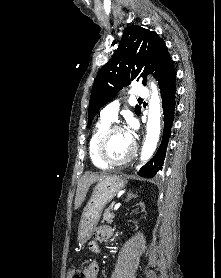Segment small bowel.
<instances>
[{
  "instance_id": "1",
  "label": "small bowel",
  "mask_w": 221,
  "mask_h": 278,
  "mask_svg": "<svg viewBox=\"0 0 221 278\" xmlns=\"http://www.w3.org/2000/svg\"><path fill=\"white\" fill-rule=\"evenodd\" d=\"M97 237L100 239H108L112 236V229L107 226H101L96 231ZM86 278H97L99 266L95 261L90 262L84 269Z\"/></svg>"
}]
</instances>
